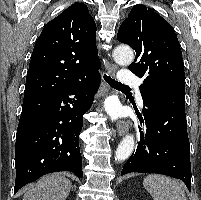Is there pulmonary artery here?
<instances>
[{
	"mask_svg": "<svg viewBox=\"0 0 201 200\" xmlns=\"http://www.w3.org/2000/svg\"><path fill=\"white\" fill-rule=\"evenodd\" d=\"M118 79L120 81V83L124 84V85H135V86H139L141 83L140 78L135 75L134 73L128 71V70H123L119 76ZM139 100H141V97L139 95Z\"/></svg>",
	"mask_w": 201,
	"mask_h": 200,
	"instance_id": "1",
	"label": "pulmonary artery"
}]
</instances>
